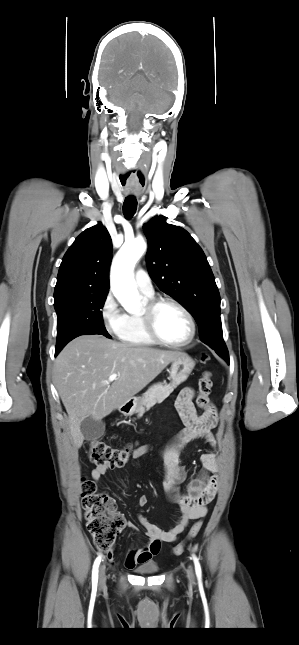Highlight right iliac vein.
<instances>
[{"instance_id":"63e3f726","label":"right iliac vein","mask_w":299,"mask_h":645,"mask_svg":"<svg viewBox=\"0 0 299 645\" xmlns=\"http://www.w3.org/2000/svg\"><path fill=\"white\" fill-rule=\"evenodd\" d=\"M105 582H106L105 567L104 565H101L99 570V583L100 585H104Z\"/></svg>"}]
</instances>
